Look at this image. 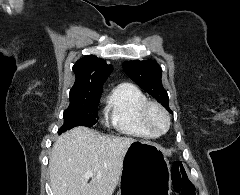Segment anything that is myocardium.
<instances>
[{
  "label": "myocardium",
  "mask_w": 240,
  "mask_h": 195,
  "mask_svg": "<svg viewBox=\"0 0 240 195\" xmlns=\"http://www.w3.org/2000/svg\"><path fill=\"white\" fill-rule=\"evenodd\" d=\"M158 111L162 114L165 120V126L163 129H157L151 122L152 111ZM141 120L146 128L153 131L156 135H162L168 131L170 127V117L167 110L158 102L146 101L141 107Z\"/></svg>",
  "instance_id": "obj_1"
}]
</instances>
